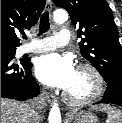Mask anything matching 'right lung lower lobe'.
Segmentation results:
<instances>
[{
	"instance_id": "right-lung-lower-lobe-1",
	"label": "right lung lower lobe",
	"mask_w": 122,
	"mask_h": 123,
	"mask_svg": "<svg viewBox=\"0 0 122 123\" xmlns=\"http://www.w3.org/2000/svg\"><path fill=\"white\" fill-rule=\"evenodd\" d=\"M14 56L1 50V97L24 101L39 94L29 61L13 62Z\"/></svg>"
}]
</instances>
